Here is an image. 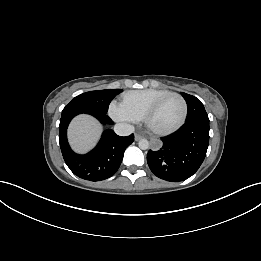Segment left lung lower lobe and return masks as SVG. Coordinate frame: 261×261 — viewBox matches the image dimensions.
Instances as JSON below:
<instances>
[{
	"mask_svg": "<svg viewBox=\"0 0 261 261\" xmlns=\"http://www.w3.org/2000/svg\"><path fill=\"white\" fill-rule=\"evenodd\" d=\"M161 140L160 148L148 151L149 168L163 180H186L199 169L206 156L209 118L187 121L177 132Z\"/></svg>",
	"mask_w": 261,
	"mask_h": 261,
	"instance_id": "left-lung-lower-lobe-1",
	"label": "left lung lower lobe"
}]
</instances>
